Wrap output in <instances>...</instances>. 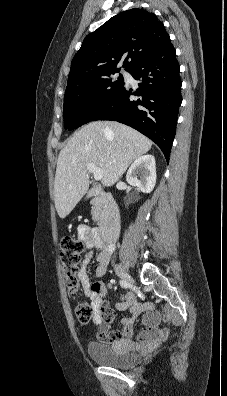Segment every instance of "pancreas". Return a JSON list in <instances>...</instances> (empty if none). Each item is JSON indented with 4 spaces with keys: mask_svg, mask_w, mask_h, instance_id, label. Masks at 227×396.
<instances>
[{
    "mask_svg": "<svg viewBox=\"0 0 227 396\" xmlns=\"http://www.w3.org/2000/svg\"><path fill=\"white\" fill-rule=\"evenodd\" d=\"M92 205H93L91 208L92 219L94 220V222L99 223L101 219V208L96 202H93Z\"/></svg>",
    "mask_w": 227,
    "mask_h": 396,
    "instance_id": "pancreas-1",
    "label": "pancreas"
}]
</instances>
